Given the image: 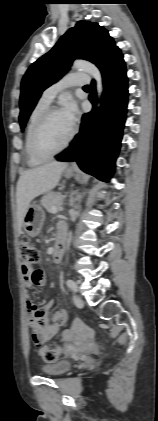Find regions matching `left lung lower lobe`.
I'll use <instances>...</instances> for the list:
<instances>
[{"instance_id": "1", "label": "left lung lower lobe", "mask_w": 158, "mask_h": 421, "mask_svg": "<svg viewBox=\"0 0 158 421\" xmlns=\"http://www.w3.org/2000/svg\"><path fill=\"white\" fill-rule=\"evenodd\" d=\"M104 92L99 110L95 107L82 116L80 132L70 147L55 156L58 161H75L86 173L108 182L115 168L126 118L128 86L125 62L121 50L100 66ZM89 96L96 105L95 81Z\"/></svg>"}]
</instances>
